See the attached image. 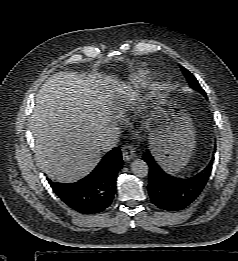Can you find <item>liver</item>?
<instances>
[{
    "instance_id": "6515ba94",
    "label": "liver",
    "mask_w": 238,
    "mask_h": 261,
    "mask_svg": "<svg viewBox=\"0 0 238 261\" xmlns=\"http://www.w3.org/2000/svg\"><path fill=\"white\" fill-rule=\"evenodd\" d=\"M136 95L111 77L98 81L63 71L49 77L36 96L30 121L40 168L63 183L87 176L105 152L101 142L112 122L114 99Z\"/></svg>"
}]
</instances>
